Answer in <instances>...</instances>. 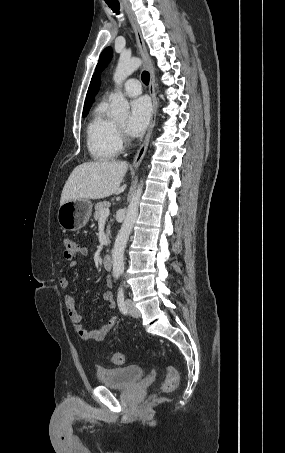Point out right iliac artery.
Masks as SVG:
<instances>
[{"mask_svg": "<svg viewBox=\"0 0 285 453\" xmlns=\"http://www.w3.org/2000/svg\"><path fill=\"white\" fill-rule=\"evenodd\" d=\"M114 276H115V278H118L119 277V273H115Z\"/></svg>", "mask_w": 285, "mask_h": 453, "instance_id": "82829eb1", "label": "right iliac artery"}]
</instances>
